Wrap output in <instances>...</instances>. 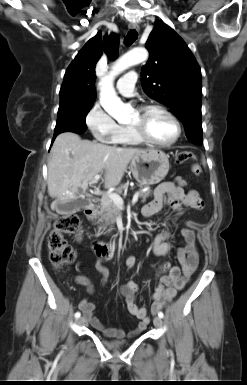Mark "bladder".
Wrapping results in <instances>:
<instances>
[{"label": "bladder", "mask_w": 247, "mask_h": 385, "mask_svg": "<svg viewBox=\"0 0 247 385\" xmlns=\"http://www.w3.org/2000/svg\"><path fill=\"white\" fill-rule=\"evenodd\" d=\"M111 346H117V345H119V344H121L120 342H111V343H109Z\"/></svg>", "instance_id": "bladder-1"}]
</instances>
